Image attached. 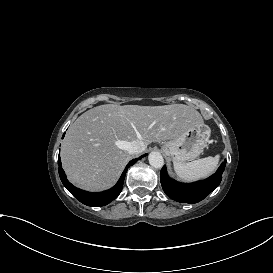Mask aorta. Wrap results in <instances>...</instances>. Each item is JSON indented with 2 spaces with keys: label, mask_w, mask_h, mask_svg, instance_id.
Segmentation results:
<instances>
[{
  "label": "aorta",
  "mask_w": 273,
  "mask_h": 273,
  "mask_svg": "<svg viewBox=\"0 0 273 273\" xmlns=\"http://www.w3.org/2000/svg\"><path fill=\"white\" fill-rule=\"evenodd\" d=\"M148 160L149 164L156 169H160L164 165L163 156L159 152H151Z\"/></svg>",
  "instance_id": "obj_1"
}]
</instances>
